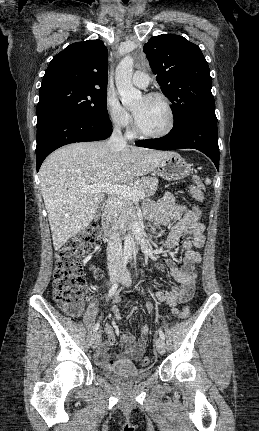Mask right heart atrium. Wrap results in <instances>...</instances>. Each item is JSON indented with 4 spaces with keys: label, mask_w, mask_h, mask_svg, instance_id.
I'll list each match as a JSON object with an SVG mask.
<instances>
[{
    "label": "right heart atrium",
    "mask_w": 259,
    "mask_h": 431,
    "mask_svg": "<svg viewBox=\"0 0 259 431\" xmlns=\"http://www.w3.org/2000/svg\"><path fill=\"white\" fill-rule=\"evenodd\" d=\"M106 113L111 125L117 129H125L132 122L131 115L121 105L117 97L109 93L105 103Z\"/></svg>",
    "instance_id": "obj_1"
}]
</instances>
